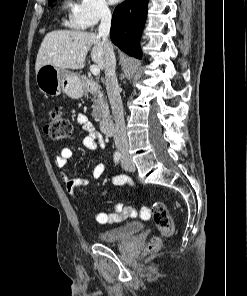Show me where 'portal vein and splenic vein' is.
<instances>
[{
	"label": "portal vein and splenic vein",
	"instance_id": "portal-vein-and-splenic-vein-1",
	"mask_svg": "<svg viewBox=\"0 0 247 296\" xmlns=\"http://www.w3.org/2000/svg\"><path fill=\"white\" fill-rule=\"evenodd\" d=\"M90 71L93 75H99L100 74V68L97 65H91Z\"/></svg>",
	"mask_w": 247,
	"mask_h": 296
}]
</instances>
